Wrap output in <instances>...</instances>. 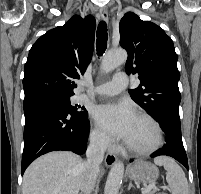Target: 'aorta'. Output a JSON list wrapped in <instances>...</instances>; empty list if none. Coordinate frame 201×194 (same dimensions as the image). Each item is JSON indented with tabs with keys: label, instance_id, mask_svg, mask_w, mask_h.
Returning <instances> with one entry per match:
<instances>
[{
	"label": "aorta",
	"instance_id": "obj_1",
	"mask_svg": "<svg viewBox=\"0 0 201 194\" xmlns=\"http://www.w3.org/2000/svg\"><path fill=\"white\" fill-rule=\"evenodd\" d=\"M127 60V52L124 49L108 51L102 59L100 70L102 73H109ZM124 174V164L116 162L107 177L104 194H118Z\"/></svg>",
	"mask_w": 201,
	"mask_h": 194
}]
</instances>
